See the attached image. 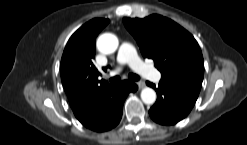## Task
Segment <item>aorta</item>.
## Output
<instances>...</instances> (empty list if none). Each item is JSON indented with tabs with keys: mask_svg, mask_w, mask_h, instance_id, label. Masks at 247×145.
<instances>
[{
	"mask_svg": "<svg viewBox=\"0 0 247 145\" xmlns=\"http://www.w3.org/2000/svg\"><path fill=\"white\" fill-rule=\"evenodd\" d=\"M119 46L118 38L111 33H105L97 39V48L103 54L114 53ZM156 92L149 87H145L141 91V99L145 104H153L156 101Z\"/></svg>",
	"mask_w": 247,
	"mask_h": 145,
	"instance_id": "obj_1",
	"label": "aorta"
}]
</instances>
